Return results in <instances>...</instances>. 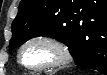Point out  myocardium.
<instances>
[{
	"instance_id": "myocardium-1",
	"label": "myocardium",
	"mask_w": 107,
	"mask_h": 75,
	"mask_svg": "<svg viewBox=\"0 0 107 75\" xmlns=\"http://www.w3.org/2000/svg\"><path fill=\"white\" fill-rule=\"evenodd\" d=\"M35 43H42L54 49L58 56L57 59L51 63L39 65V66H31L26 64L23 60V52L28 46ZM71 59H72V52L69 45L62 39L48 34H38L28 38L26 41L22 43V45L18 50V60L20 64L26 69L32 71L55 69L66 65L67 63L70 62Z\"/></svg>"
}]
</instances>
